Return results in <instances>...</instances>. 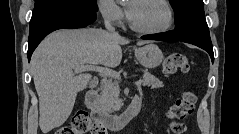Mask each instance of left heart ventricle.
Wrapping results in <instances>:
<instances>
[{"mask_svg": "<svg viewBox=\"0 0 239 134\" xmlns=\"http://www.w3.org/2000/svg\"><path fill=\"white\" fill-rule=\"evenodd\" d=\"M130 19L139 27L154 29L161 27L166 21V11L162 5L151 0L129 1Z\"/></svg>", "mask_w": 239, "mask_h": 134, "instance_id": "1", "label": "left heart ventricle"}]
</instances>
